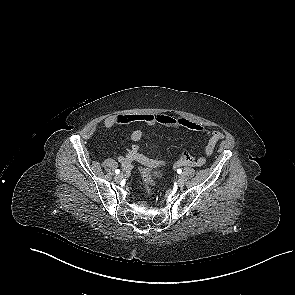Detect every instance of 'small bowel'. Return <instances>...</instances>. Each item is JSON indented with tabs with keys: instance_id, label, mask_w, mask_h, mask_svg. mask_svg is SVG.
Segmentation results:
<instances>
[{
	"instance_id": "c3829d8e",
	"label": "small bowel",
	"mask_w": 295,
	"mask_h": 295,
	"mask_svg": "<svg viewBox=\"0 0 295 295\" xmlns=\"http://www.w3.org/2000/svg\"><path fill=\"white\" fill-rule=\"evenodd\" d=\"M143 123L148 127L156 125L165 126L174 129H183L194 132H203L207 135V142L204 153L207 157L211 156L216 148L217 143L223 138L220 131H208L202 125L197 124L185 118H176L167 114H118L108 116L104 120V127L111 129L115 126L127 125L131 123ZM143 136V131L137 129L132 132L130 139L134 143L126 151L124 155L117 156L118 161L125 170H129L133 161L146 162L147 159L138 151V146L135 144ZM206 162L205 157L194 158L184 153L175 165L177 166H203Z\"/></svg>"
}]
</instances>
